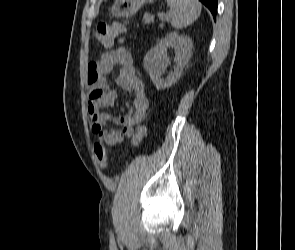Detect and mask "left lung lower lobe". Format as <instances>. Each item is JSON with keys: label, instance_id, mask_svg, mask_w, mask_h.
Masks as SVG:
<instances>
[{"label": "left lung lower lobe", "instance_id": "obj_1", "mask_svg": "<svg viewBox=\"0 0 295 250\" xmlns=\"http://www.w3.org/2000/svg\"><path fill=\"white\" fill-rule=\"evenodd\" d=\"M212 13L213 17H216V11H217V0H200Z\"/></svg>", "mask_w": 295, "mask_h": 250}]
</instances>
